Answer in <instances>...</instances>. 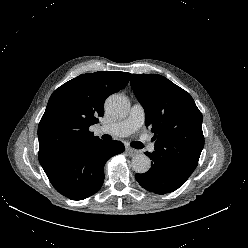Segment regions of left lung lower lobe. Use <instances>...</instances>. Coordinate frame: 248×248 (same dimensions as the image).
Listing matches in <instances>:
<instances>
[{
	"label": "left lung lower lobe",
	"mask_w": 248,
	"mask_h": 248,
	"mask_svg": "<svg viewBox=\"0 0 248 248\" xmlns=\"http://www.w3.org/2000/svg\"><path fill=\"white\" fill-rule=\"evenodd\" d=\"M146 155L152 160L151 168L144 174L135 175L136 180L146 190L157 194L170 193L188 179L174 167L155 157L153 153L146 152Z\"/></svg>",
	"instance_id": "left-lung-lower-lobe-1"
}]
</instances>
